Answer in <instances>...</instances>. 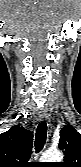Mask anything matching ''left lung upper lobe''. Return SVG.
Wrapping results in <instances>:
<instances>
[{
    "label": "left lung upper lobe",
    "mask_w": 81,
    "mask_h": 167,
    "mask_svg": "<svg viewBox=\"0 0 81 167\" xmlns=\"http://www.w3.org/2000/svg\"><path fill=\"white\" fill-rule=\"evenodd\" d=\"M59 148L65 155L59 167H81V134L72 126L61 129Z\"/></svg>",
    "instance_id": "1"
}]
</instances>
